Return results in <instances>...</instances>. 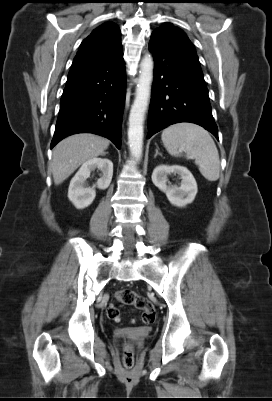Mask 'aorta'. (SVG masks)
Masks as SVG:
<instances>
[{"instance_id":"obj_1","label":"aorta","mask_w":272,"mask_h":401,"mask_svg":"<svg viewBox=\"0 0 272 401\" xmlns=\"http://www.w3.org/2000/svg\"><path fill=\"white\" fill-rule=\"evenodd\" d=\"M154 62L150 54L140 63V74L136 87L135 100L129 114L128 144L131 154L140 159L143 147V124L149 103L153 80Z\"/></svg>"}]
</instances>
